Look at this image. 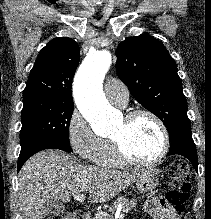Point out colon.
Wrapping results in <instances>:
<instances>
[{"mask_svg":"<svg viewBox=\"0 0 211 219\" xmlns=\"http://www.w3.org/2000/svg\"><path fill=\"white\" fill-rule=\"evenodd\" d=\"M188 175V166L185 161L175 159L167 168V177L172 186L166 193V201L173 208L175 215L180 216L184 211L188 194V183L185 178ZM75 214L65 216H51L48 219H75Z\"/></svg>","mask_w":211,"mask_h":219,"instance_id":"5ec220e1","label":"colon"}]
</instances>
